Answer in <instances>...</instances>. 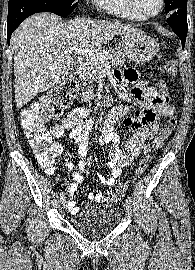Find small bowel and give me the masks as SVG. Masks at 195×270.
<instances>
[{"label": "small bowel", "instance_id": "obj_1", "mask_svg": "<svg viewBox=\"0 0 195 270\" xmlns=\"http://www.w3.org/2000/svg\"><path fill=\"white\" fill-rule=\"evenodd\" d=\"M117 82L130 86V94L140 105L139 109L130 111L124 106H115L108 113L103 133L99 137L101 146L110 145V155L106 167L110 176L105 178L98 174L101 183L107 187H114L116 181L121 177L122 169L132 167L136 164V157L143 152L150 153L154 147L159 130V119L168 118L174 114V107L169 103V95L161 96L156 86H150L147 81L139 79L138 72L134 69H126L123 72L115 73ZM121 124L129 131L128 138L122 148L119 135L115 132V125ZM94 126V120L90 111L79 107L70 111L57 125L49 132V136L60 139L66 134L78 144L80 160L75 167L72 163H66L71 171L73 182L68 186V193L71 198L67 207L72 214L79 212L74 194L79 185L83 182L82 173L87 168L86 156L88 153V136ZM119 196L115 190H108L104 194L90 193L89 201L97 203L116 202Z\"/></svg>", "mask_w": 195, "mask_h": 270}]
</instances>
